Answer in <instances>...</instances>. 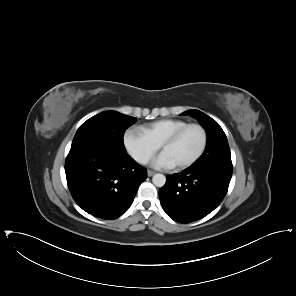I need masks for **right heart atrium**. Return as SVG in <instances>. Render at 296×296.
Returning a JSON list of instances; mask_svg holds the SVG:
<instances>
[{"label": "right heart atrium", "instance_id": "1", "mask_svg": "<svg viewBox=\"0 0 296 296\" xmlns=\"http://www.w3.org/2000/svg\"><path fill=\"white\" fill-rule=\"evenodd\" d=\"M124 145L130 155L140 163H147L159 150V146L140 129H129L124 136Z\"/></svg>", "mask_w": 296, "mask_h": 296}]
</instances>
